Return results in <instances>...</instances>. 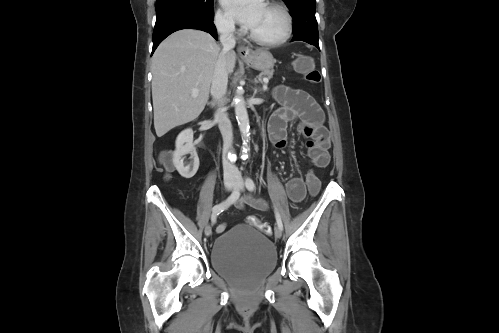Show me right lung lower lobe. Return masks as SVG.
<instances>
[{
	"mask_svg": "<svg viewBox=\"0 0 499 333\" xmlns=\"http://www.w3.org/2000/svg\"><path fill=\"white\" fill-rule=\"evenodd\" d=\"M181 29H198L210 33L217 39L213 17L206 18L187 14H178L156 21L153 32V50L171 33Z\"/></svg>",
	"mask_w": 499,
	"mask_h": 333,
	"instance_id": "98d812e1",
	"label": "right lung lower lobe"
}]
</instances>
